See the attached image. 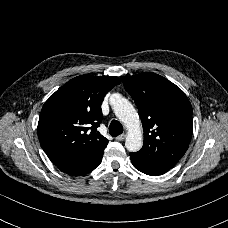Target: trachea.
<instances>
[{
  "instance_id": "3493384b",
  "label": "trachea",
  "mask_w": 228,
  "mask_h": 228,
  "mask_svg": "<svg viewBox=\"0 0 228 228\" xmlns=\"http://www.w3.org/2000/svg\"><path fill=\"white\" fill-rule=\"evenodd\" d=\"M123 133V126L117 120H112L109 125V134L113 137H116Z\"/></svg>"
}]
</instances>
